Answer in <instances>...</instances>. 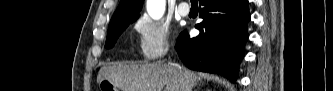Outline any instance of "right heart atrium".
Wrapping results in <instances>:
<instances>
[{
	"label": "right heart atrium",
	"mask_w": 333,
	"mask_h": 91,
	"mask_svg": "<svg viewBox=\"0 0 333 91\" xmlns=\"http://www.w3.org/2000/svg\"><path fill=\"white\" fill-rule=\"evenodd\" d=\"M133 28L144 59L153 61L168 53L171 46V31L165 23L143 16L135 21Z\"/></svg>",
	"instance_id": "obj_1"
}]
</instances>
